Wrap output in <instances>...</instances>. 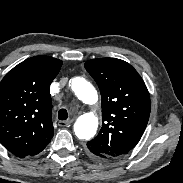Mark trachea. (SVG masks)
Returning <instances> with one entry per match:
<instances>
[{"label":"trachea","mask_w":183,"mask_h":183,"mask_svg":"<svg viewBox=\"0 0 183 183\" xmlns=\"http://www.w3.org/2000/svg\"><path fill=\"white\" fill-rule=\"evenodd\" d=\"M68 118V113L66 109H60L58 111V119L59 120H66Z\"/></svg>","instance_id":"1"}]
</instances>
